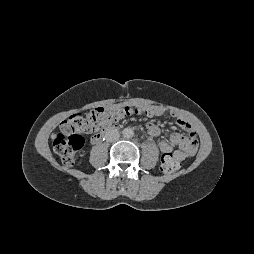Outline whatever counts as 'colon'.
I'll use <instances>...</instances> for the list:
<instances>
[{"mask_svg":"<svg viewBox=\"0 0 254 254\" xmlns=\"http://www.w3.org/2000/svg\"><path fill=\"white\" fill-rule=\"evenodd\" d=\"M137 110L130 106L97 107L87 112L85 116L80 113L71 115L60 125L53 141L55 152L60 156L62 162L73 165L84 145L83 134L92 133L113 126L125 115L136 113ZM149 109L145 114H149ZM179 169V163L171 155H163L161 160V171L171 175Z\"/></svg>","mask_w":254,"mask_h":254,"instance_id":"obj_1","label":"colon"}]
</instances>
